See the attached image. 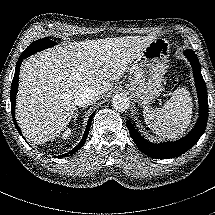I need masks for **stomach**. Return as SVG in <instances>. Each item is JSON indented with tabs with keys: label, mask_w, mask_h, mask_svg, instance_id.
<instances>
[{
	"label": "stomach",
	"mask_w": 215,
	"mask_h": 215,
	"mask_svg": "<svg viewBox=\"0 0 215 215\" xmlns=\"http://www.w3.org/2000/svg\"><path fill=\"white\" fill-rule=\"evenodd\" d=\"M169 53V41L158 38L142 51L131 66L132 77L127 88L139 105L148 106L163 91Z\"/></svg>",
	"instance_id": "obj_1"
}]
</instances>
